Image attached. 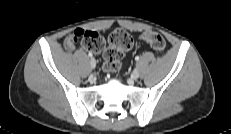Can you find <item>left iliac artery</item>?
<instances>
[{
	"instance_id": "left-iliac-artery-1",
	"label": "left iliac artery",
	"mask_w": 231,
	"mask_h": 134,
	"mask_svg": "<svg viewBox=\"0 0 231 134\" xmlns=\"http://www.w3.org/2000/svg\"><path fill=\"white\" fill-rule=\"evenodd\" d=\"M135 60L138 61V60H139V56H136V57H135Z\"/></svg>"
}]
</instances>
